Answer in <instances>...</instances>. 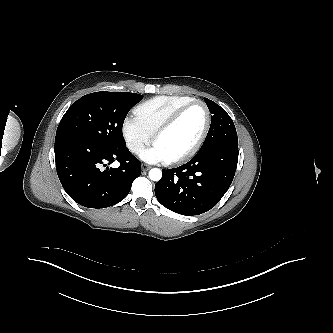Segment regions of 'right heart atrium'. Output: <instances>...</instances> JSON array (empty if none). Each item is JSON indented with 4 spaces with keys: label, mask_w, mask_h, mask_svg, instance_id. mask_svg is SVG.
I'll return each mask as SVG.
<instances>
[{
    "label": "right heart atrium",
    "mask_w": 333,
    "mask_h": 333,
    "mask_svg": "<svg viewBox=\"0 0 333 333\" xmlns=\"http://www.w3.org/2000/svg\"><path fill=\"white\" fill-rule=\"evenodd\" d=\"M122 134L129 151L133 154L140 153L150 143L153 135L136 116H128L124 119Z\"/></svg>",
    "instance_id": "right-heart-atrium-1"
}]
</instances>
